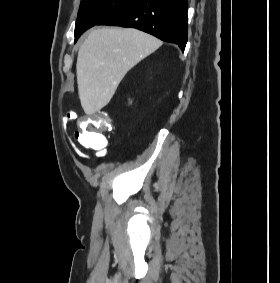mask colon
I'll return each instance as SVG.
<instances>
[{
	"label": "colon",
	"mask_w": 280,
	"mask_h": 283,
	"mask_svg": "<svg viewBox=\"0 0 280 283\" xmlns=\"http://www.w3.org/2000/svg\"><path fill=\"white\" fill-rule=\"evenodd\" d=\"M67 115L72 121L75 120V113L69 112ZM80 118L76 121V142L86 149L103 152L107 147V138L102 132H113V127H110L111 123L107 120L110 119V114H107V110H86V114H81ZM92 121L98 127L89 128Z\"/></svg>",
	"instance_id": "1"
}]
</instances>
